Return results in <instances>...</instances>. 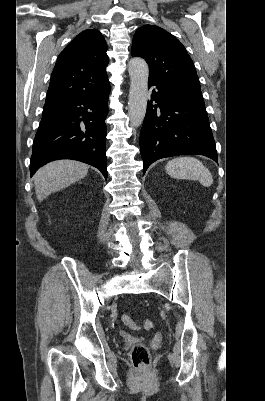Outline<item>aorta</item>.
Instances as JSON below:
<instances>
[{
    "instance_id": "762f6f07",
    "label": "aorta",
    "mask_w": 265,
    "mask_h": 401,
    "mask_svg": "<svg viewBox=\"0 0 265 401\" xmlns=\"http://www.w3.org/2000/svg\"><path fill=\"white\" fill-rule=\"evenodd\" d=\"M130 90L128 114L131 126H140L147 108L149 68L143 58H130L128 62Z\"/></svg>"
}]
</instances>
